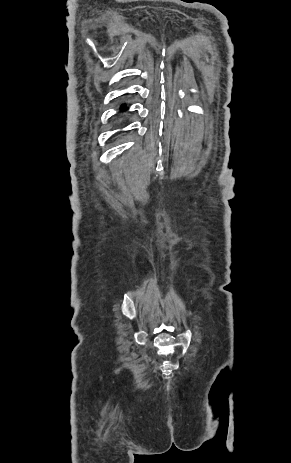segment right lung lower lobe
<instances>
[{
    "mask_svg": "<svg viewBox=\"0 0 291 463\" xmlns=\"http://www.w3.org/2000/svg\"><path fill=\"white\" fill-rule=\"evenodd\" d=\"M120 111H125L127 109V105L125 103H122L119 107Z\"/></svg>",
    "mask_w": 291,
    "mask_h": 463,
    "instance_id": "right-lung-lower-lobe-1",
    "label": "right lung lower lobe"
}]
</instances>
